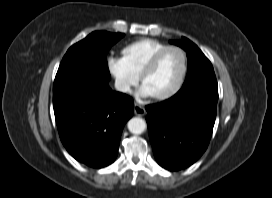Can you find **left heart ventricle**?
Returning <instances> with one entry per match:
<instances>
[{
	"label": "left heart ventricle",
	"mask_w": 272,
	"mask_h": 198,
	"mask_svg": "<svg viewBox=\"0 0 272 198\" xmlns=\"http://www.w3.org/2000/svg\"><path fill=\"white\" fill-rule=\"evenodd\" d=\"M183 67L180 52L168 51L160 60L157 67L142 83L151 97L169 92L178 82Z\"/></svg>",
	"instance_id": "b2bd125f"
}]
</instances>
